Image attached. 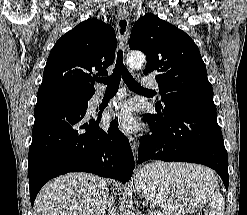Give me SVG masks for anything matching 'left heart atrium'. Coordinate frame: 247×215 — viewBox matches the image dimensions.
Here are the masks:
<instances>
[{"instance_id": "left-heart-atrium-1", "label": "left heart atrium", "mask_w": 247, "mask_h": 215, "mask_svg": "<svg viewBox=\"0 0 247 215\" xmlns=\"http://www.w3.org/2000/svg\"><path fill=\"white\" fill-rule=\"evenodd\" d=\"M135 107L131 103L121 105L114 113L119 126L126 132H132L139 128V123L134 115Z\"/></svg>"}]
</instances>
